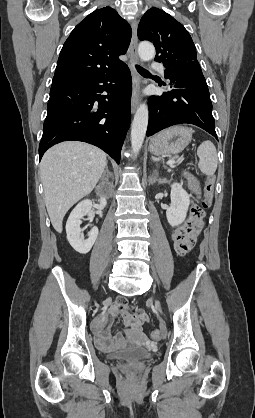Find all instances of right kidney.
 I'll list each match as a JSON object with an SVG mask.
<instances>
[{
	"label": "right kidney",
	"mask_w": 255,
	"mask_h": 418,
	"mask_svg": "<svg viewBox=\"0 0 255 418\" xmlns=\"http://www.w3.org/2000/svg\"><path fill=\"white\" fill-rule=\"evenodd\" d=\"M100 207L104 208L107 205L106 198L101 197L99 199ZM92 217V201L91 200H83L77 204V206L72 210L70 216L66 223V233L67 239L70 245L80 254L88 253L92 246L94 245L97 236H98V228L94 226L91 231L89 232L88 238L84 239L80 225L82 223L81 219L84 216Z\"/></svg>",
	"instance_id": "ca27d5eb"
}]
</instances>
